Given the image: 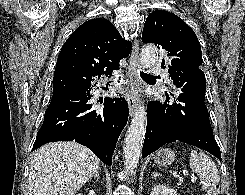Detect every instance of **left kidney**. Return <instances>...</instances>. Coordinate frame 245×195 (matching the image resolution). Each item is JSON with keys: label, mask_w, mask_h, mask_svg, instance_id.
<instances>
[{"label": "left kidney", "mask_w": 245, "mask_h": 195, "mask_svg": "<svg viewBox=\"0 0 245 195\" xmlns=\"http://www.w3.org/2000/svg\"><path fill=\"white\" fill-rule=\"evenodd\" d=\"M150 195H178L177 191L166 185H156Z\"/></svg>", "instance_id": "obj_1"}]
</instances>
